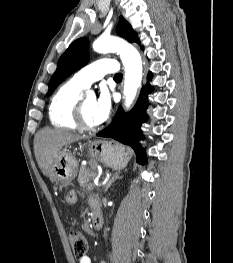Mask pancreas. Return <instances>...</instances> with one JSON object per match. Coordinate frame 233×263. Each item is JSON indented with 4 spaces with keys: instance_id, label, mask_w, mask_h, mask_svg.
I'll return each instance as SVG.
<instances>
[{
    "instance_id": "cf45deb5",
    "label": "pancreas",
    "mask_w": 233,
    "mask_h": 263,
    "mask_svg": "<svg viewBox=\"0 0 233 263\" xmlns=\"http://www.w3.org/2000/svg\"><path fill=\"white\" fill-rule=\"evenodd\" d=\"M97 176L96 172H91L89 170H82L78 176V183L80 187L85 188L90 191L94 188V183L91 182Z\"/></svg>"
}]
</instances>
